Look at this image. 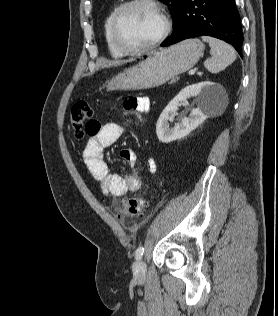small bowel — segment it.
Returning a JSON list of instances; mask_svg holds the SVG:
<instances>
[{"label":"small bowel","instance_id":"1","mask_svg":"<svg viewBox=\"0 0 278 316\" xmlns=\"http://www.w3.org/2000/svg\"><path fill=\"white\" fill-rule=\"evenodd\" d=\"M150 101L146 97H138L125 101L123 111L125 115L136 116L142 120V116L149 111ZM125 129L117 123H107L99 126L98 131L91 135L82 152L83 162L97 181L101 192L108 197H122L129 192H136L141 187V175L135 167L136 155L130 149H123L120 152L122 159L130 166V172L121 176L112 174L104 160V149L115 143ZM147 169L150 174L154 175L157 166L153 158L147 160Z\"/></svg>","mask_w":278,"mask_h":316}]
</instances>
